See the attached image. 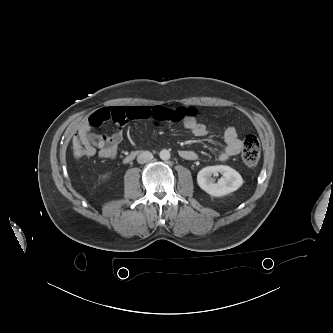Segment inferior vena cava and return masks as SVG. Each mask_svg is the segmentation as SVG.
Wrapping results in <instances>:
<instances>
[{"label":"inferior vena cava","mask_w":333,"mask_h":333,"mask_svg":"<svg viewBox=\"0 0 333 333\" xmlns=\"http://www.w3.org/2000/svg\"><path fill=\"white\" fill-rule=\"evenodd\" d=\"M153 159V154L149 151L141 152L137 157V162L140 164L147 163Z\"/></svg>","instance_id":"obj_1"}]
</instances>
